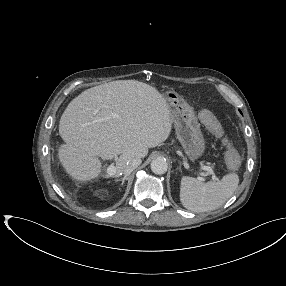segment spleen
<instances>
[{
  "mask_svg": "<svg viewBox=\"0 0 286 286\" xmlns=\"http://www.w3.org/2000/svg\"><path fill=\"white\" fill-rule=\"evenodd\" d=\"M239 184L236 173H229L218 182L207 183L183 176L180 185V201L193 212H207L221 207L235 192Z\"/></svg>",
  "mask_w": 286,
  "mask_h": 286,
  "instance_id": "spleen-1",
  "label": "spleen"
}]
</instances>
